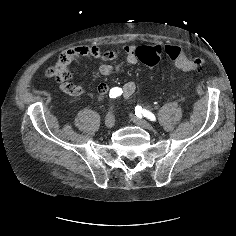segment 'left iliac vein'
I'll list each match as a JSON object with an SVG mask.
<instances>
[{"instance_id":"4c4485c4","label":"left iliac vein","mask_w":236,"mask_h":236,"mask_svg":"<svg viewBox=\"0 0 236 236\" xmlns=\"http://www.w3.org/2000/svg\"><path fill=\"white\" fill-rule=\"evenodd\" d=\"M130 117L136 125L142 127L143 129H146V130H149V131L154 130V127L149 122H147L146 120H144L142 118H139V117H136L133 114H130Z\"/></svg>"}]
</instances>
